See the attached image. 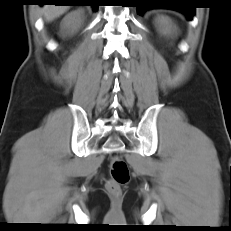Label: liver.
<instances>
[{"instance_id": "obj_1", "label": "liver", "mask_w": 231, "mask_h": 231, "mask_svg": "<svg viewBox=\"0 0 231 231\" xmlns=\"http://www.w3.org/2000/svg\"><path fill=\"white\" fill-rule=\"evenodd\" d=\"M68 10L69 6L45 5L43 8H41V13L46 19V21L50 22L60 17Z\"/></svg>"}]
</instances>
